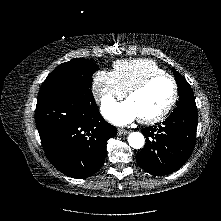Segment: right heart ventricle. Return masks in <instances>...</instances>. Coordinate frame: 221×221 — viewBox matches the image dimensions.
<instances>
[{"instance_id":"e07e8e85","label":"right heart ventricle","mask_w":221,"mask_h":221,"mask_svg":"<svg viewBox=\"0 0 221 221\" xmlns=\"http://www.w3.org/2000/svg\"><path fill=\"white\" fill-rule=\"evenodd\" d=\"M162 72L155 62L148 59L119 60L113 64V74L124 92L148 76Z\"/></svg>"}]
</instances>
